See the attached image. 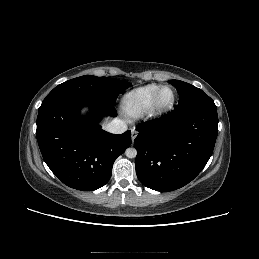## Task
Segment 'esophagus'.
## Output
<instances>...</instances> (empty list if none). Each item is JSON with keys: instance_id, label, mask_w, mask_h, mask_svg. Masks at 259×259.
<instances>
[{"instance_id": "34e87169", "label": "esophagus", "mask_w": 259, "mask_h": 259, "mask_svg": "<svg viewBox=\"0 0 259 259\" xmlns=\"http://www.w3.org/2000/svg\"><path fill=\"white\" fill-rule=\"evenodd\" d=\"M138 132L135 129L131 130V139L132 141L135 140L136 136H137Z\"/></svg>"}]
</instances>
